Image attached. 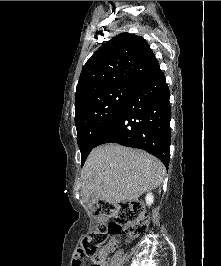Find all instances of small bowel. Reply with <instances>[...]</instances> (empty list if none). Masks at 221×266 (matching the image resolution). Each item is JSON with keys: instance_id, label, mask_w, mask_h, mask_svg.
<instances>
[{"instance_id": "c3829d8e", "label": "small bowel", "mask_w": 221, "mask_h": 266, "mask_svg": "<svg viewBox=\"0 0 221 266\" xmlns=\"http://www.w3.org/2000/svg\"><path fill=\"white\" fill-rule=\"evenodd\" d=\"M101 221H105L106 219L105 218H100ZM76 250L78 252H73L72 253V256L74 257L73 258V261H72V266H83V261H84V256H85V253L84 252H79V251H84L85 250V247L84 246H77L76 247Z\"/></svg>"}]
</instances>
